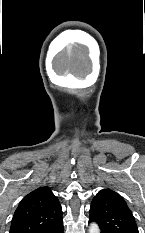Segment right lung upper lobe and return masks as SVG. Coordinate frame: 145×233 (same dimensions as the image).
Returning <instances> with one entry per match:
<instances>
[{"label": "right lung upper lobe", "mask_w": 145, "mask_h": 233, "mask_svg": "<svg viewBox=\"0 0 145 233\" xmlns=\"http://www.w3.org/2000/svg\"><path fill=\"white\" fill-rule=\"evenodd\" d=\"M61 205L48 187L26 195L19 203L10 233H49L62 222Z\"/></svg>", "instance_id": "right-lung-upper-lobe-1"}]
</instances>
